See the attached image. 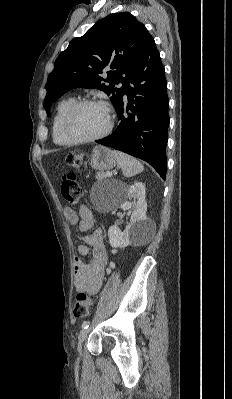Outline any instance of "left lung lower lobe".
<instances>
[{
	"label": "left lung lower lobe",
	"instance_id": "1",
	"mask_svg": "<svg viewBox=\"0 0 232 399\" xmlns=\"http://www.w3.org/2000/svg\"><path fill=\"white\" fill-rule=\"evenodd\" d=\"M125 94L128 103L123 97L117 108L118 127L96 143L148 162L165 179L169 99L165 69L154 39L136 61L126 81Z\"/></svg>",
	"mask_w": 232,
	"mask_h": 399
}]
</instances>
